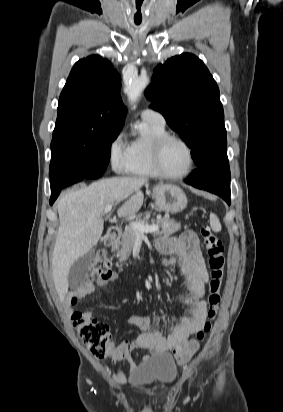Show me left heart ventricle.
<instances>
[{
    "instance_id": "1",
    "label": "left heart ventricle",
    "mask_w": 283,
    "mask_h": 412,
    "mask_svg": "<svg viewBox=\"0 0 283 412\" xmlns=\"http://www.w3.org/2000/svg\"><path fill=\"white\" fill-rule=\"evenodd\" d=\"M161 164L167 173H183L189 166L187 149L177 141L168 142L162 152Z\"/></svg>"
}]
</instances>
